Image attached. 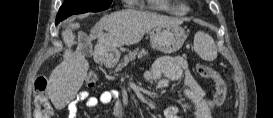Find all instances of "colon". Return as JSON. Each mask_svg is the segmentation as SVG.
<instances>
[{
  "instance_id": "colon-1",
  "label": "colon",
  "mask_w": 273,
  "mask_h": 118,
  "mask_svg": "<svg viewBox=\"0 0 273 118\" xmlns=\"http://www.w3.org/2000/svg\"><path fill=\"white\" fill-rule=\"evenodd\" d=\"M196 70L202 78L213 80L215 84L213 102L217 107L221 106L226 97V85L222 77L206 64H198ZM97 81L98 75L95 72L88 73L85 79L89 87H94ZM47 85V79L43 76L37 77L34 82L36 118H51L53 116V110L47 96Z\"/></svg>"
}]
</instances>
